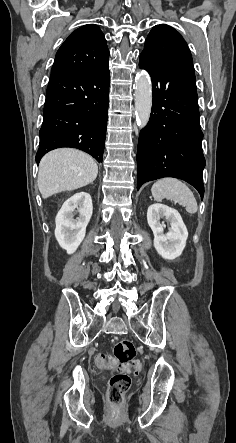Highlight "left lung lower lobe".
Returning <instances> with one entry per match:
<instances>
[{"label":"left lung lower lobe","mask_w":236,"mask_h":443,"mask_svg":"<svg viewBox=\"0 0 236 443\" xmlns=\"http://www.w3.org/2000/svg\"><path fill=\"white\" fill-rule=\"evenodd\" d=\"M139 67L152 79L153 104L137 150V189L163 177L182 179L204 196L203 133L192 63L155 61L141 54Z\"/></svg>","instance_id":"1"}]
</instances>
